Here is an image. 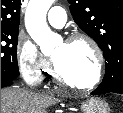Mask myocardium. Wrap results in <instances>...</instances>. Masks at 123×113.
Listing matches in <instances>:
<instances>
[{"mask_svg":"<svg viewBox=\"0 0 123 113\" xmlns=\"http://www.w3.org/2000/svg\"><path fill=\"white\" fill-rule=\"evenodd\" d=\"M77 41H84L86 42L91 49L93 50L96 58V71L95 75L92 78L91 81L85 84H79L77 82H74L70 79H68L60 70L58 64L56 61L52 58V63H53V75L56 81L59 83H62L66 86L72 87L77 90L81 91H88L93 88H95L102 80L103 73H104V64H105V58H104V53L100 47V45L97 43V41L91 37L88 34L85 33H74L71 36H69L65 40V44H71Z\"/></svg>","mask_w":123,"mask_h":113,"instance_id":"1","label":"myocardium"}]
</instances>
